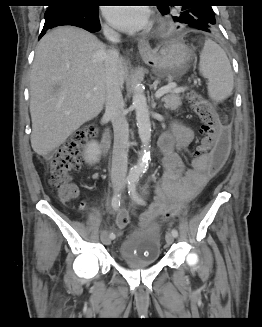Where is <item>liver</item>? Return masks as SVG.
Wrapping results in <instances>:
<instances>
[{
  "mask_svg": "<svg viewBox=\"0 0 262 327\" xmlns=\"http://www.w3.org/2000/svg\"><path fill=\"white\" fill-rule=\"evenodd\" d=\"M98 38L76 27H59L38 44L30 77L31 146L47 157L106 102V56ZM124 84L125 69L119 61Z\"/></svg>",
  "mask_w": 262,
  "mask_h": 327,
  "instance_id": "1",
  "label": "liver"
}]
</instances>
